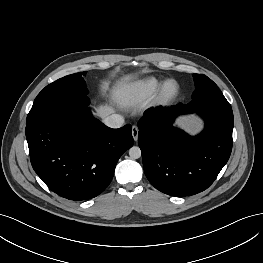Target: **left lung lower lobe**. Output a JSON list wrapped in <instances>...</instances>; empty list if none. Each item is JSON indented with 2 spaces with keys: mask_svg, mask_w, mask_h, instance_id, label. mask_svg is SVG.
I'll use <instances>...</instances> for the list:
<instances>
[{
  "mask_svg": "<svg viewBox=\"0 0 263 263\" xmlns=\"http://www.w3.org/2000/svg\"><path fill=\"white\" fill-rule=\"evenodd\" d=\"M198 113L204 130L190 136L172 124L178 115ZM232 108L189 110L178 104L155 108L138 122V143L150 183L171 196H189L207 189L227 163L232 150Z\"/></svg>",
  "mask_w": 263,
  "mask_h": 263,
  "instance_id": "left-lung-lower-lobe-1",
  "label": "left lung lower lobe"
}]
</instances>
